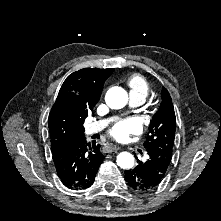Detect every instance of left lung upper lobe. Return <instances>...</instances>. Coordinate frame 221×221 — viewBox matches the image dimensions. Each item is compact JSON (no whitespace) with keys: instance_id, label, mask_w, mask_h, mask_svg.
Instances as JSON below:
<instances>
[{"instance_id":"obj_1","label":"left lung upper lobe","mask_w":221,"mask_h":221,"mask_svg":"<svg viewBox=\"0 0 221 221\" xmlns=\"http://www.w3.org/2000/svg\"><path fill=\"white\" fill-rule=\"evenodd\" d=\"M176 118L172 99L166 88L162 89V102L149 126L148 139L144 142L147 151L159 150L172 157Z\"/></svg>"}]
</instances>
